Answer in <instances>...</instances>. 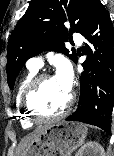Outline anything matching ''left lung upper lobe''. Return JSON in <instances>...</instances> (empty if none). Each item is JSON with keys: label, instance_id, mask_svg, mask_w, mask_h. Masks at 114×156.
I'll use <instances>...</instances> for the list:
<instances>
[{"label": "left lung upper lobe", "instance_id": "left-lung-upper-lobe-1", "mask_svg": "<svg viewBox=\"0 0 114 156\" xmlns=\"http://www.w3.org/2000/svg\"><path fill=\"white\" fill-rule=\"evenodd\" d=\"M99 0H31L9 40L7 53L8 84L12 89L25 62L42 51H56L68 55L65 41L71 32L82 34L93 7ZM70 22V31L64 22ZM76 62L73 50L68 55Z\"/></svg>", "mask_w": 114, "mask_h": 156}]
</instances>
